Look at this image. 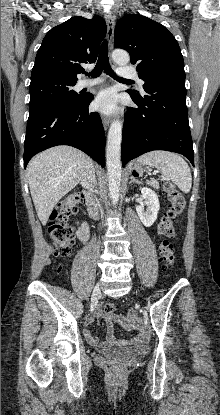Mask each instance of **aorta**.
<instances>
[{
  "label": "aorta",
  "instance_id": "1",
  "mask_svg": "<svg viewBox=\"0 0 220 415\" xmlns=\"http://www.w3.org/2000/svg\"><path fill=\"white\" fill-rule=\"evenodd\" d=\"M112 59L120 66L127 65L130 61L129 54L121 49L112 52ZM121 140H122V124L117 119L111 123L108 131L106 145V165L109 185V197L113 205L117 204L119 199L120 183H121Z\"/></svg>",
  "mask_w": 220,
  "mask_h": 415
}]
</instances>
